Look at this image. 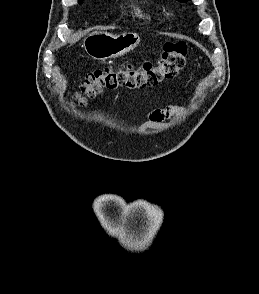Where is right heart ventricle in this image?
Instances as JSON below:
<instances>
[{
    "label": "right heart ventricle",
    "instance_id": "obj_1",
    "mask_svg": "<svg viewBox=\"0 0 259 294\" xmlns=\"http://www.w3.org/2000/svg\"><path fill=\"white\" fill-rule=\"evenodd\" d=\"M135 14H136V16H138L140 18H148L149 17L147 14L142 13V11H140V10H136Z\"/></svg>",
    "mask_w": 259,
    "mask_h": 294
}]
</instances>
